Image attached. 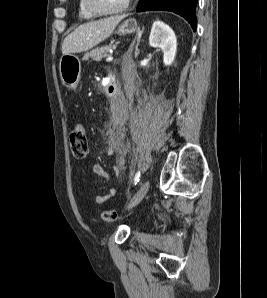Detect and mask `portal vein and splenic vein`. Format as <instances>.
I'll use <instances>...</instances> for the list:
<instances>
[{"label":"portal vein and splenic vein","instance_id":"portal-vein-and-splenic-vein-1","mask_svg":"<svg viewBox=\"0 0 267 298\" xmlns=\"http://www.w3.org/2000/svg\"><path fill=\"white\" fill-rule=\"evenodd\" d=\"M112 59H113L112 56H108V57L106 58L107 61H110V60H112Z\"/></svg>","mask_w":267,"mask_h":298}]
</instances>
